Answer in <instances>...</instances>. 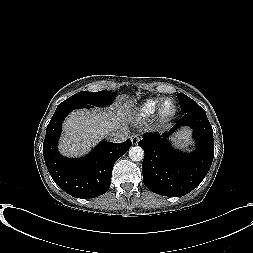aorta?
I'll return each instance as SVG.
<instances>
[{
    "label": "aorta",
    "mask_w": 253,
    "mask_h": 253,
    "mask_svg": "<svg viewBox=\"0 0 253 253\" xmlns=\"http://www.w3.org/2000/svg\"><path fill=\"white\" fill-rule=\"evenodd\" d=\"M129 157L132 161H141L144 158V151L140 146L131 147Z\"/></svg>",
    "instance_id": "762f6f07"
}]
</instances>
